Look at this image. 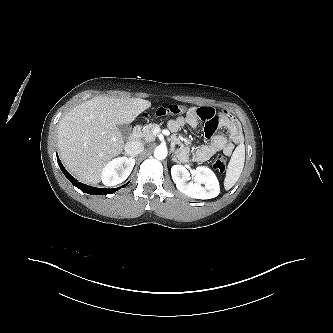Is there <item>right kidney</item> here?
<instances>
[{"mask_svg":"<svg viewBox=\"0 0 333 333\" xmlns=\"http://www.w3.org/2000/svg\"><path fill=\"white\" fill-rule=\"evenodd\" d=\"M135 160L133 158H116L103 168L101 179L106 186H114L125 181L133 170Z\"/></svg>","mask_w":333,"mask_h":333,"instance_id":"1","label":"right kidney"}]
</instances>
